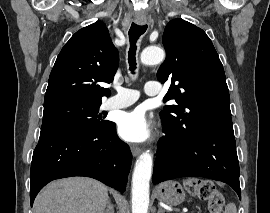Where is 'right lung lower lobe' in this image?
Instances as JSON below:
<instances>
[{
  "instance_id": "1",
  "label": "right lung lower lobe",
  "mask_w": 270,
  "mask_h": 213,
  "mask_svg": "<svg viewBox=\"0 0 270 213\" xmlns=\"http://www.w3.org/2000/svg\"><path fill=\"white\" fill-rule=\"evenodd\" d=\"M131 159L111 121L98 131L43 127L31 163V206L47 183L71 176L91 177L124 192Z\"/></svg>"
}]
</instances>
